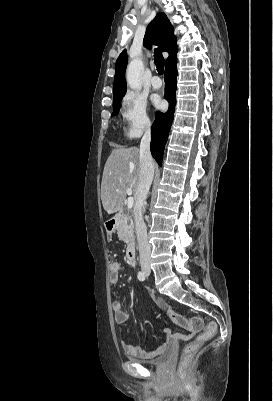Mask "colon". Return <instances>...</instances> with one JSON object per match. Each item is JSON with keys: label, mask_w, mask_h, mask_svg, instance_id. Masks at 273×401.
Segmentation results:
<instances>
[{"label": "colon", "mask_w": 273, "mask_h": 401, "mask_svg": "<svg viewBox=\"0 0 273 401\" xmlns=\"http://www.w3.org/2000/svg\"><path fill=\"white\" fill-rule=\"evenodd\" d=\"M143 289L147 288L146 284L142 285ZM148 291V290H147ZM153 300L154 306H160L161 302L154 295L149 297ZM162 308V307H157ZM165 308V307H164ZM165 314L168 316L169 320L174 321V323L179 324L181 327H186L188 322L185 316L180 315L178 312H172L169 307H166ZM191 327H187L190 333L196 331L201 333L199 337H194L193 340H188L187 344H184L181 351V362L178 364L177 373L181 381H192L194 378L193 369L190 366V358H197L198 353L203 351V342H211L213 336L217 330L218 322L216 319H209L207 322V327L200 320L193 319L189 322Z\"/></svg>", "instance_id": "1"}]
</instances>
